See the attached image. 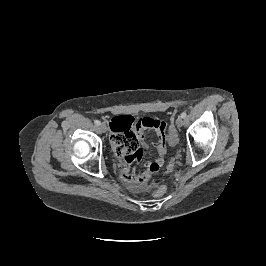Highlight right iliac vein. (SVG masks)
<instances>
[{
  "label": "right iliac vein",
  "mask_w": 266,
  "mask_h": 266,
  "mask_svg": "<svg viewBox=\"0 0 266 266\" xmlns=\"http://www.w3.org/2000/svg\"><path fill=\"white\" fill-rule=\"evenodd\" d=\"M100 130L103 133L107 132L108 128H107L106 124H104V123L100 124Z\"/></svg>",
  "instance_id": "63e3f726"
}]
</instances>
